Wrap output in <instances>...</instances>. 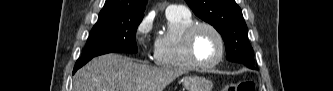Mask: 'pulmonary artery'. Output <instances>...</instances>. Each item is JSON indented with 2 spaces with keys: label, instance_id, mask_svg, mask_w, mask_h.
<instances>
[{
  "label": "pulmonary artery",
  "instance_id": "obj_1",
  "mask_svg": "<svg viewBox=\"0 0 333 91\" xmlns=\"http://www.w3.org/2000/svg\"><path fill=\"white\" fill-rule=\"evenodd\" d=\"M166 13H168V14H174V13L189 14L190 11L183 5H169L166 9Z\"/></svg>",
  "mask_w": 333,
  "mask_h": 91
}]
</instances>
